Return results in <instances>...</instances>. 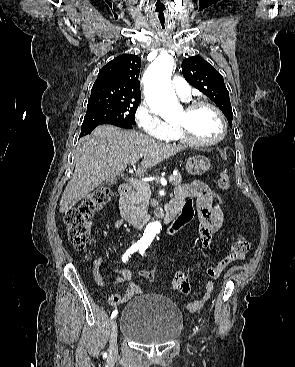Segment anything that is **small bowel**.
<instances>
[{"label": "small bowel", "mask_w": 295, "mask_h": 367, "mask_svg": "<svg viewBox=\"0 0 295 367\" xmlns=\"http://www.w3.org/2000/svg\"><path fill=\"white\" fill-rule=\"evenodd\" d=\"M187 195H193L195 198L196 214L199 220V246L201 250H206L211 244L213 235L221 229L224 214L214 199L215 194L203 182L195 180L177 186L174 191V200L179 201L184 206ZM121 226L122 221H117L116 228H120ZM102 263L103 257L100 256L94 261L93 269L95 280L100 286L107 287L124 282L127 283L124 293H115L108 297L107 302L109 305L114 307L120 306L142 293L141 288L132 281V273L129 269L121 270V276L114 280L104 279L100 274ZM222 271L223 269H220L217 265L206 269L209 280L205 284V293L200 298L186 303L188 311L195 313L204 306L214 290L213 279L218 278ZM173 284L177 290L183 293H188L191 290L190 281L181 270L175 273Z\"/></svg>", "instance_id": "small-bowel-1"}]
</instances>
